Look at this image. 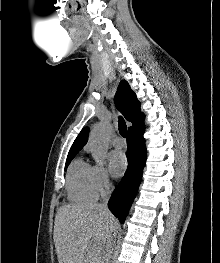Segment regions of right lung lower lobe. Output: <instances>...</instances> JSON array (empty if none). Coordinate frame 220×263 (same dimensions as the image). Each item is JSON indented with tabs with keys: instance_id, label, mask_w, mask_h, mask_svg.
<instances>
[{
	"instance_id": "right-lung-lower-lobe-1",
	"label": "right lung lower lobe",
	"mask_w": 220,
	"mask_h": 263,
	"mask_svg": "<svg viewBox=\"0 0 220 263\" xmlns=\"http://www.w3.org/2000/svg\"><path fill=\"white\" fill-rule=\"evenodd\" d=\"M144 129L127 134L128 168L109 201L110 211L124 222L136 196L146 160Z\"/></svg>"
}]
</instances>
